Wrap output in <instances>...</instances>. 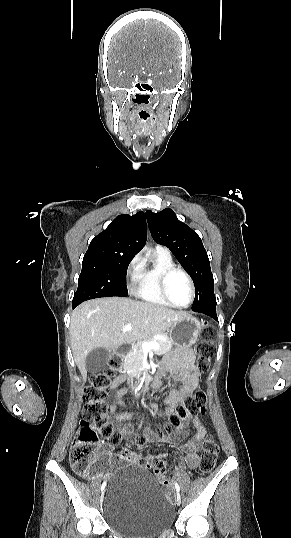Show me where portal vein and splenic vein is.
Instances as JSON below:
<instances>
[{"label":"portal vein and splenic vein","instance_id":"1","mask_svg":"<svg viewBox=\"0 0 291 538\" xmlns=\"http://www.w3.org/2000/svg\"><path fill=\"white\" fill-rule=\"evenodd\" d=\"M129 330H132V325L127 323L123 326L121 331L125 332ZM142 348L144 351L156 350L159 348V344L157 342H144Z\"/></svg>","mask_w":291,"mask_h":538}]
</instances>
